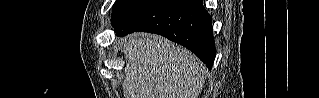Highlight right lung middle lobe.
<instances>
[{"mask_svg":"<svg viewBox=\"0 0 319 98\" xmlns=\"http://www.w3.org/2000/svg\"><path fill=\"white\" fill-rule=\"evenodd\" d=\"M149 0H116L113 6L112 25L115 26Z\"/></svg>","mask_w":319,"mask_h":98,"instance_id":"1","label":"right lung middle lobe"}]
</instances>
